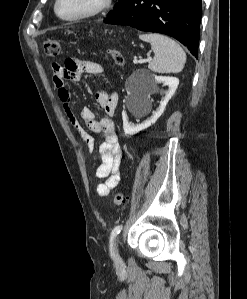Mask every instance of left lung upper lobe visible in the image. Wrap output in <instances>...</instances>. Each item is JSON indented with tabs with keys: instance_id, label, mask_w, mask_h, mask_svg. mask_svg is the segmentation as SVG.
<instances>
[{
	"instance_id": "left-lung-upper-lobe-1",
	"label": "left lung upper lobe",
	"mask_w": 247,
	"mask_h": 299,
	"mask_svg": "<svg viewBox=\"0 0 247 299\" xmlns=\"http://www.w3.org/2000/svg\"><path fill=\"white\" fill-rule=\"evenodd\" d=\"M128 1L129 0H118V2L115 5L114 10H112V11L109 12L108 17L111 16V15H113V14H115L118 10H120L121 8H123L127 4Z\"/></svg>"
}]
</instances>
